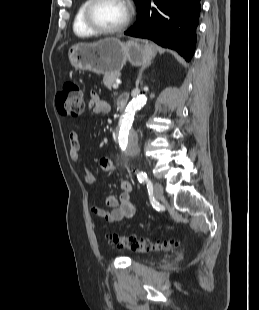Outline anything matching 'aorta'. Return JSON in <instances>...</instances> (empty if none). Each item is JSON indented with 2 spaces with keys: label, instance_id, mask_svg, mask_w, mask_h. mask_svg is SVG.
<instances>
[{
  "label": "aorta",
  "instance_id": "1",
  "mask_svg": "<svg viewBox=\"0 0 259 310\" xmlns=\"http://www.w3.org/2000/svg\"><path fill=\"white\" fill-rule=\"evenodd\" d=\"M145 95H139L131 100L122 113L119 120V148L126 155L134 156L138 153V135L133 129V119L135 114L146 104Z\"/></svg>",
  "mask_w": 259,
  "mask_h": 310
}]
</instances>
